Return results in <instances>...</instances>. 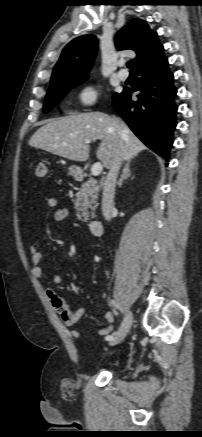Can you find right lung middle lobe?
Returning a JSON list of instances; mask_svg holds the SVG:
<instances>
[{
  "label": "right lung middle lobe",
  "instance_id": "1",
  "mask_svg": "<svg viewBox=\"0 0 202 437\" xmlns=\"http://www.w3.org/2000/svg\"><path fill=\"white\" fill-rule=\"evenodd\" d=\"M88 76H80L50 85L46 95L43 112H49L73 87L82 84Z\"/></svg>",
  "mask_w": 202,
  "mask_h": 437
}]
</instances>
